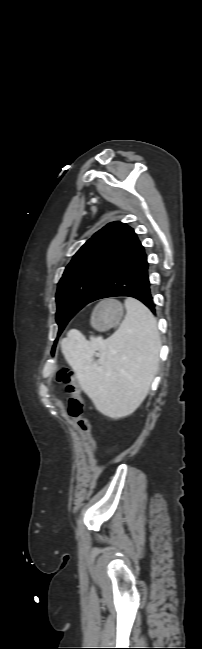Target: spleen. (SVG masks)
Segmentation results:
<instances>
[{"instance_id": "3e777b00", "label": "spleen", "mask_w": 202, "mask_h": 649, "mask_svg": "<svg viewBox=\"0 0 202 649\" xmlns=\"http://www.w3.org/2000/svg\"><path fill=\"white\" fill-rule=\"evenodd\" d=\"M125 308L123 322L108 339L91 337L88 341L72 330L61 341L64 358L81 388L101 413L112 418L133 413L143 402L161 345L151 311L133 298L125 300ZM96 351L98 360H94Z\"/></svg>"}]
</instances>
